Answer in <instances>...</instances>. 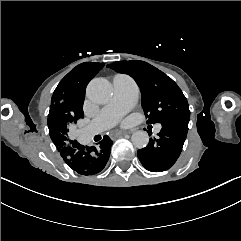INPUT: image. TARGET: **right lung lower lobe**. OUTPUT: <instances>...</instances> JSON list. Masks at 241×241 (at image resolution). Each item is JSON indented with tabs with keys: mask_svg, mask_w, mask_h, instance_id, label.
I'll list each match as a JSON object with an SVG mask.
<instances>
[{
	"mask_svg": "<svg viewBox=\"0 0 241 241\" xmlns=\"http://www.w3.org/2000/svg\"><path fill=\"white\" fill-rule=\"evenodd\" d=\"M112 140L108 136L96 146H84L76 140L67 146L58 148L66 164L82 175H94L106 166L110 157Z\"/></svg>",
	"mask_w": 241,
	"mask_h": 241,
	"instance_id": "1",
	"label": "right lung lower lobe"
}]
</instances>
